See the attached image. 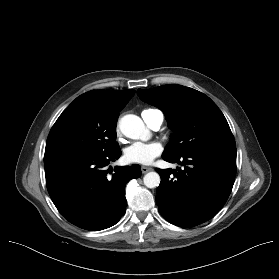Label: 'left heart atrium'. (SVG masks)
<instances>
[{
  "mask_svg": "<svg viewBox=\"0 0 279 279\" xmlns=\"http://www.w3.org/2000/svg\"><path fill=\"white\" fill-rule=\"evenodd\" d=\"M162 152V146L157 142H134L124 151V158L129 163L150 164Z\"/></svg>",
  "mask_w": 279,
  "mask_h": 279,
  "instance_id": "1",
  "label": "left heart atrium"
}]
</instances>
